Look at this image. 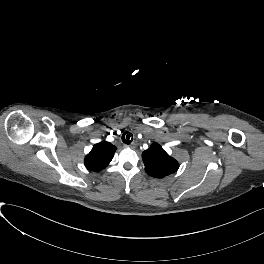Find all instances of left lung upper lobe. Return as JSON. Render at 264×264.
<instances>
[{
    "mask_svg": "<svg viewBox=\"0 0 264 264\" xmlns=\"http://www.w3.org/2000/svg\"><path fill=\"white\" fill-rule=\"evenodd\" d=\"M145 171L156 178H164L178 170V162L170 157L158 143L142 153Z\"/></svg>",
    "mask_w": 264,
    "mask_h": 264,
    "instance_id": "obj_1",
    "label": "left lung upper lobe"
}]
</instances>
